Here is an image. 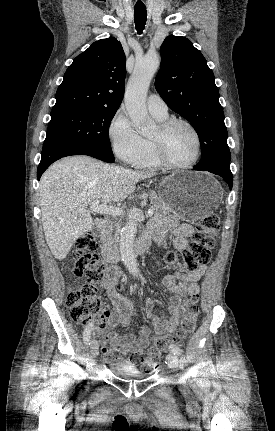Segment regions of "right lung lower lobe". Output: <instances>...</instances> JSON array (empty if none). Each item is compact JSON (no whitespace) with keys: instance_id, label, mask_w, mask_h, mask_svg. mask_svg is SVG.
Returning <instances> with one entry per match:
<instances>
[{"instance_id":"98d812e1","label":"right lung lower lobe","mask_w":275,"mask_h":431,"mask_svg":"<svg viewBox=\"0 0 275 431\" xmlns=\"http://www.w3.org/2000/svg\"><path fill=\"white\" fill-rule=\"evenodd\" d=\"M70 155H89L105 162H114L112 153L89 144L74 142L48 144L44 145L42 149L41 162L37 170L38 180L53 162Z\"/></svg>"}]
</instances>
